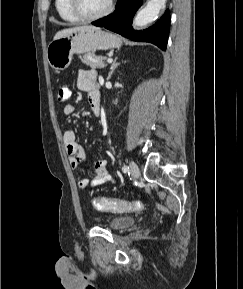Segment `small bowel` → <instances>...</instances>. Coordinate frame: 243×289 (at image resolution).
Instances as JSON below:
<instances>
[{
    "instance_id": "obj_1",
    "label": "small bowel",
    "mask_w": 243,
    "mask_h": 289,
    "mask_svg": "<svg viewBox=\"0 0 243 289\" xmlns=\"http://www.w3.org/2000/svg\"><path fill=\"white\" fill-rule=\"evenodd\" d=\"M77 87L82 91H86L89 97L90 109L94 115L100 114V104L98 105L95 99V92L99 90V83L97 74L91 69H81L78 72ZM63 112L66 116H71L75 112V107L68 104L64 107ZM63 141L66 153L69 157L70 165L73 168L79 167L85 158L83 147L77 142L75 132L67 130L64 132ZM94 176L92 179L80 178L78 180V187L86 189L88 187H96L107 182H114V179L108 172L107 161L98 160L91 169Z\"/></svg>"
}]
</instances>
